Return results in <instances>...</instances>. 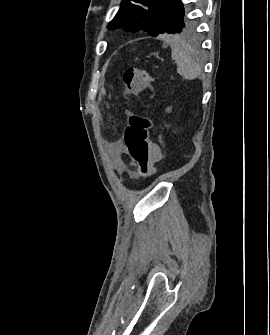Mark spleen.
<instances>
[{
    "instance_id": "3e777b00",
    "label": "spleen",
    "mask_w": 270,
    "mask_h": 335,
    "mask_svg": "<svg viewBox=\"0 0 270 335\" xmlns=\"http://www.w3.org/2000/svg\"><path fill=\"white\" fill-rule=\"evenodd\" d=\"M171 58L177 64V72L184 80H195L201 74V68L190 56L186 42L181 36H174L170 42Z\"/></svg>"
}]
</instances>
